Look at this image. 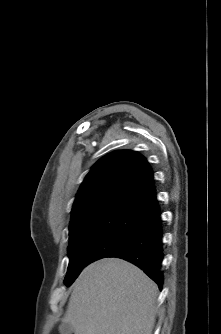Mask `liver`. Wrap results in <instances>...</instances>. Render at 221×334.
<instances>
[{"instance_id": "6515ba94", "label": "liver", "mask_w": 221, "mask_h": 334, "mask_svg": "<svg viewBox=\"0 0 221 334\" xmlns=\"http://www.w3.org/2000/svg\"><path fill=\"white\" fill-rule=\"evenodd\" d=\"M157 285L135 265L104 258L73 284L63 322L75 334H152Z\"/></svg>"}]
</instances>
